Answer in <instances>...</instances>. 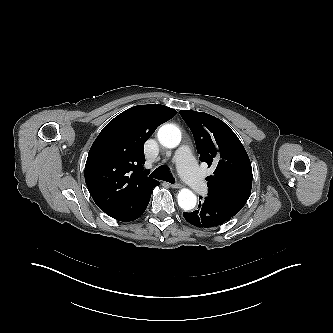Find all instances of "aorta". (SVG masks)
I'll return each instance as SVG.
<instances>
[{"label": "aorta", "instance_id": "1", "mask_svg": "<svg viewBox=\"0 0 333 333\" xmlns=\"http://www.w3.org/2000/svg\"><path fill=\"white\" fill-rule=\"evenodd\" d=\"M158 140L166 148H175L181 142V131L174 124H165L158 130ZM178 205L185 211L195 207L196 195L187 188H183L177 195Z\"/></svg>", "mask_w": 333, "mask_h": 333}]
</instances>
